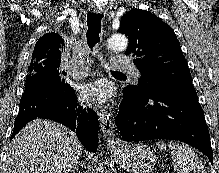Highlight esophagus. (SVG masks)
Masks as SVG:
<instances>
[{
  "instance_id": "34e87169",
  "label": "esophagus",
  "mask_w": 219,
  "mask_h": 173,
  "mask_svg": "<svg viewBox=\"0 0 219 173\" xmlns=\"http://www.w3.org/2000/svg\"><path fill=\"white\" fill-rule=\"evenodd\" d=\"M94 12L105 14L106 10L104 7H94ZM100 130L103 134L104 139L108 145H115L119 142V139L115 137L114 124L112 114L106 109H102L99 114Z\"/></svg>"
}]
</instances>
